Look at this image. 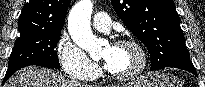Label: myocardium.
<instances>
[{"label":"myocardium","instance_id":"1","mask_svg":"<svg viewBox=\"0 0 205 87\" xmlns=\"http://www.w3.org/2000/svg\"><path fill=\"white\" fill-rule=\"evenodd\" d=\"M114 46H128L134 48L138 52L139 63L134 70L123 75L106 70L107 76L118 82H128L140 76L147 66V52L144 46L139 41L132 38L120 39L115 42Z\"/></svg>","mask_w":205,"mask_h":87}]
</instances>
